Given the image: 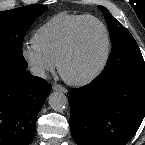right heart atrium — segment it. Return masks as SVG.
Here are the masks:
<instances>
[{"label":"right heart atrium","mask_w":145,"mask_h":145,"mask_svg":"<svg viewBox=\"0 0 145 145\" xmlns=\"http://www.w3.org/2000/svg\"><path fill=\"white\" fill-rule=\"evenodd\" d=\"M21 56L29 71L36 77L44 78L55 69L56 63L33 43L22 47Z\"/></svg>","instance_id":"obj_1"}]
</instances>
